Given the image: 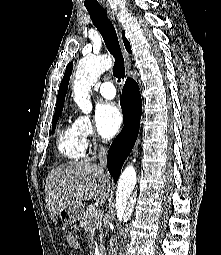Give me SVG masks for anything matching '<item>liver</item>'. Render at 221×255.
<instances>
[{
	"mask_svg": "<svg viewBox=\"0 0 221 255\" xmlns=\"http://www.w3.org/2000/svg\"><path fill=\"white\" fill-rule=\"evenodd\" d=\"M110 177L103 168L90 162H69L52 169L45 185L46 207L57 223L60 209L69 202L96 200L103 203L109 196Z\"/></svg>",
	"mask_w": 221,
	"mask_h": 255,
	"instance_id": "1",
	"label": "liver"
}]
</instances>
